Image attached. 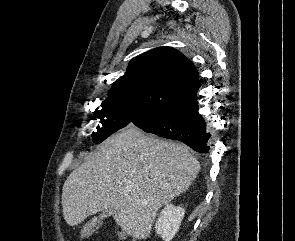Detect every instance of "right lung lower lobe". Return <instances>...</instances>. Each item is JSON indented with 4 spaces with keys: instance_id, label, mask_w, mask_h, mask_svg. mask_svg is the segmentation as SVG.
I'll list each match as a JSON object with an SVG mask.
<instances>
[{
    "instance_id": "obj_1",
    "label": "right lung lower lobe",
    "mask_w": 295,
    "mask_h": 241,
    "mask_svg": "<svg viewBox=\"0 0 295 241\" xmlns=\"http://www.w3.org/2000/svg\"><path fill=\"white\" fill-rule=\"evenodd\" d=\"M198 110L195 99L165 112L140 129L160 137L182 141L199 153H207L210 134L206 132L205 121Z\"/></svg>"
}]
</instances>
